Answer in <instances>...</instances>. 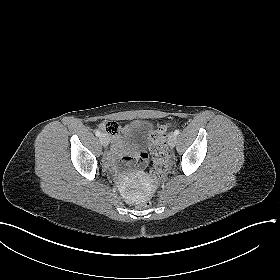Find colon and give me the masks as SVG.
<instances>
[{"instance_id":"obj_1","label":"colon","mask_w":280,"mask_h":280,"mask_svg":"<svg viewBox=\"0 0 280 280\" xmlns=\"http://www.w3.org/2000/svg\"><path fill=\"white\" fill-rule=\"evenodd\" d=\"M101 129L110 135H116L119 132V126L116 122L109 121L101 125ZM166 133V127H158L155 131L150 134V139L155 143L154 148V161L151 168V174L155 177H160L166 171L168 167V155L165 150L163 143V138ZM152 206L151 199H145L140 204L139 207L142 209H147Z\"/></svg>"}]
</instances>
